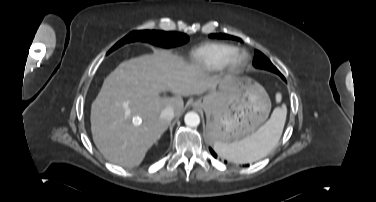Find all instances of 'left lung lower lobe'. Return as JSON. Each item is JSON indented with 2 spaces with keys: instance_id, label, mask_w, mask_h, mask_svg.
I'll return each mask as SVG.
<instances>
[{
  "instance_id": "left-lung-lower-lobe-1",
  "label": "left lung lower lobe",
  "mask_w": 376,
  "mask_h": 202,
  "mask_svg": "<svg viewBox=\"0 0 376 202\" xmlns=\"http://www.w3.org/2000/svg\"><path fill=\"white\" fill-rule=\"evenodd\" d=\"M282 78L284 79V77L282 76ZM285 80V79H284ZM210 152H211V154L216 158L217 157V155L215 154V152L210 148Z\"/></svg>"
}]
</instances>
